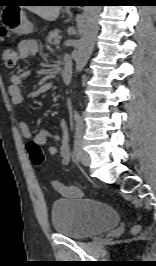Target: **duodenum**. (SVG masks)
Masks as SVG:
<instances>
[{
	"instance_id": "obj_1",
	"label": "duodenum",
	"mask_w": 156,
	"mask_h": 266,
	"mask_svg": "<svg viewBox=\"0 0 156 266\" xmlns=\"http://www.w3.org/2000/svg\"><path fill=\"white\" fill-rule=\"evenodd\" d=\"M64 84H70L72 81L73 71L69 60H65V65L61 73Z\"/></svg>"
}]
</instances>
